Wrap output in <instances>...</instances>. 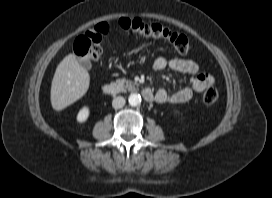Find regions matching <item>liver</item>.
<instances>
[{"label": "liver", "mask_w": 272, "mask_h": 198, "mask_svg": "<svg viewBox=\"0 0 272 198\" xmlns=\"http://www.w3.org/2000/svg\"><path fill=\"white\" fill-rule=\"evenodd\" d=\"M89 73L73 54L67 55L57 66L50 92L51 105L60 111L80 99L88 90Z\"/></svg>", "instance_id": "6515ba94"}]
</instances>
